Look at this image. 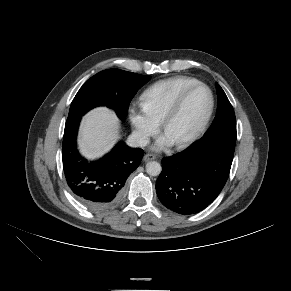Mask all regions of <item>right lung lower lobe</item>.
Segmentation results:
<instances>
[{
	"label": "right lung lower lobe",
	"instance_id": "98d812e1",
	"mask_svg": "<svg viewBox=\"0 0 291 291\" xmlns=\"http://www.w3.org/2000/svg\"><path fill=\"white\" fill-rule=\"evenodd\" d=\"M81 116L67 119L63 137L62 160L67 184L83 205L93 211L112 206L119 198L128 176L139 166L143 150L123 142L102 159L87 162L76 147Z\"/></svg>",
	"mask_w": 291,
	"mask_h": 291
}]
</instances>
